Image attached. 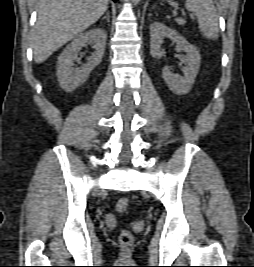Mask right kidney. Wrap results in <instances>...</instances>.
I'll use <instances>...</instances> for the list:
<instances>
[{
    "label": "right kidney",
    "mask_w": 254,
    "mask_h": 267,
    "mask_svg": "<svg viewBox=\"0 0 254 267\" xmlns=\"http://www.w3.org/2000/svg\"><path fill=\"white\" fill-rule=\"evenodd\" d=\"M107 40V33L103 28H94L77 36L58 57L57 77L60 86L67 92H72L82 85L90 72L102 61ZM92 45L95 52L88 58V62L79 68H74V61L82 47Z\"/></svg>",
    "instance_id": "ca27d5eb"
}]
</instances>
